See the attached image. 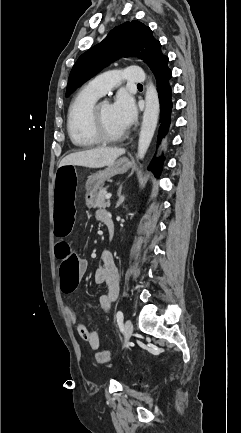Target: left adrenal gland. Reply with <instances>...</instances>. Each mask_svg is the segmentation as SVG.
Returning <instances> with one entry per match:
<instances>
[{
    "label": "left adrenal gland",
    "mask_w": 241,
    "mask_h": 433,
    "mask_svg": "<svg viewBox=\"0 0 241 433\" xmlns=\"http://www.w3.org/2000/svg\"><path fill=\"white\" fill-rule=\"evenodd\" d=\"M121 190H122V188L120 187V189L118 191V198L119 199L117 201L116 208L119 207L125 200V196L121 194Z\"/></svg>",
    "instance_id": "left-adrenal-gland-1"
}]
</instances>
